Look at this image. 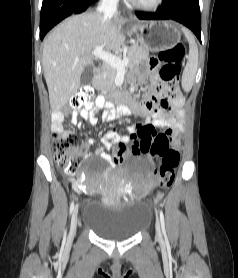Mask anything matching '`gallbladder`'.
Wrapping results in <instances>:
<instances>
[{"instance_id": "1", "label": "gallbladder", "mask_w": 238, "mask_h": 278, "mask_svg": "<svg viewBox=\"0 0 238 278\" xmlns=\"http://www.w3.org/2000/svg\"><path fill=\"white\" fill-rule=\"evenodd\" d=\"M93 78V67L92 65L85 66L81 78H80V84L81 85H87L92 82Z\"/></svg>"}]
</instances>
